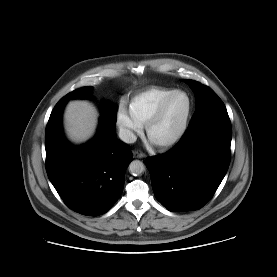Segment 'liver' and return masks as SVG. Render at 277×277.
Wrapping results in <instances>:
<instances>
[{
  "instance_id": "liver-1",
  "label": "liver",
  "mask_w": 277,
  "mask_h": 277,
  "mask_svg": "<svg viewBox=\"0 0 277 277\" xmlns=\"http://www.w3.org/2000/svg\"><path fill=\"white\" fill-rule=\"evenodd\" d=\"M65 128L68 137L76 142L88 140L95 132L98 113L87 101H71L65 111Z\"/></svg>"
}]
</instances>
